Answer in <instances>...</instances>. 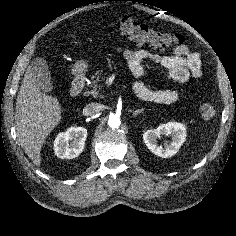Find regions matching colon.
<instances>
[{
	"mask_svg": "<svg viewBox=\"0 0 236 236\" xmlns=\"http://www.w3.org/2000/svg\"><path fill=\"white\" fill-rule=\"evenodd\" d=\"M116 25L119 31L138 44H148L162 48H173L180 46L184 39L180 35L163 33L152 27L137 22L128 16L118 17ZM202 118L209 120L214 118L217 113V107L212 103H204L200 108Z\"/></svg>",
	"mask_w": 236,
	"mask_h": 236,
	"instance_id": "obj_1",
	"label": "colon"
}]
</instances>
